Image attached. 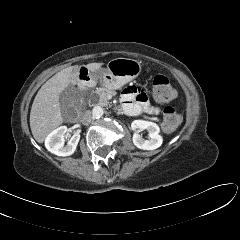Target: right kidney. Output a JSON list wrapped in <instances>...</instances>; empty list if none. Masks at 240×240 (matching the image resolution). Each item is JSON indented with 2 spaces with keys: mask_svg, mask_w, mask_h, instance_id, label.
Wrapping results in <instances>:
<instances>
[{
  "mask_svg": "<svg viewBox=\"0 0 240 240\" xmlns=\"http://www.w3.org/2000/svg\"><path fill=\"white\" fill-rule=\"evenodd\" d=\"M67 132L66 126H60L53 130L45 139V147L51 153L57 156L72 155L80 140L79 134H74L66 145H64V136Z\"/></svg>",
  "mask_w": 240,
  "mask_h": 240,
  "instance_id": "1",
  "label": "right kidney"
}]
</instances>
